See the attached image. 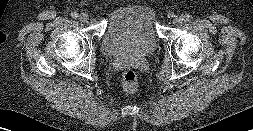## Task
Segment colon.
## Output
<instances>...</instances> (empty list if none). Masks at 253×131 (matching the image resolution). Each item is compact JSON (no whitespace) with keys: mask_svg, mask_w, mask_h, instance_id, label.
<instances>
[{"mask_svg":"<svg viewBox=\"0 0 253 131\" xmlns=\"http://www.w3.org/2000/svg\"><path fill=\"white\" fill-rule=\"evenodd\" d=\"M123 87L128 92H135L138 87V76L133 70H127L122 77Z\"/></svg>","mask_w":253,"mask_h":131,"instance_id":"obj_1","label":"colon"}]
</instances>
